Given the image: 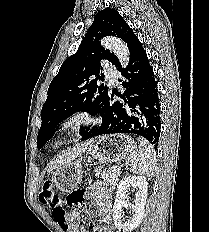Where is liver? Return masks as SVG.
Returning <instances> with one entry per match:
<instances>
[{"label":"liver","instance_id":"obj_1","mask_svg":"<svg viewBox=\"0 0 209 232\" xmlns=\"http://www.w3.org/2000/svg\"><path fill=\"white\" fill-rule=\"evenodd\" d=\"M90 146H91V142H86V143L76 145L72 149L65 151L56 160L50 163L48 171L50 172L55 168H58L62 165H65L66 163L71 162L76 157L84 153Z\"/></svg>","mask_w":209,"mask_h":232}]
</instances>
